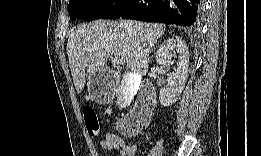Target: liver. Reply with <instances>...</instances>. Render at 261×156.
I'll return each instance as SVG.
<instances>
[{
    "label": "liver",
    "mask_w": 261,
    "mask_h": 156,
    "mask_svg": "<svg viewBox=\"0 0 261 156\" xmlns=\"http://www.w3.org/2000/svg\"><path fill=\"white\" fill-rule=\"evenodd\" d=\"M164 32L162 24L133 20H98L77 26L67 41L69 66L77 92L85 86L86 71L89 76L113 73L107 66V57L102 54L124 59L133 74L144 76L148 72L149 54Z\"/></svg>",
    "instance_id": "obj_1"
}]
</instances>
